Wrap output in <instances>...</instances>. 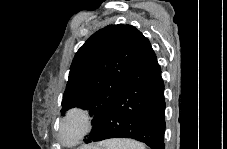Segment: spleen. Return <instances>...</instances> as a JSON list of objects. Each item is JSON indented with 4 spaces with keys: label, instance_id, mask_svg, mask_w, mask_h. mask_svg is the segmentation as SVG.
<instances>
[{
    "label": "spleen",
    "instance_id": "3e777b00",
    "mask_svg": "<svg viewBox=\"0 0 227 149\" xmlns=\"http://www.w3.org/2000/svg\"><path fill=\"white\" fill-rule=\"evenodd\" d=\"M106 149H145V146L131 139H112L100 143Z\"/></svg>",
    "mask_w": 227,
    "mask_h": 149
}]
</instances>
